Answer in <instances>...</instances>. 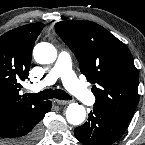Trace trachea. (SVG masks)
<instances>
[{
	"label": "trachea",
	"mask_w": 145,
	"mask_h": 145,
	"mask_svg": "<svg viewBox=\"0 0 145 145\" xmlns=\"http://www.w3.org/2000/svg\"><path fill=\"white\" fill-rule=\"evenodd\" d=\"M26 95L30 99H40V100H46V99H52V98H57L60 100H72V97L68 95L65 91L61 89H46L44 91H41L36 94L32 93H26Z\"/></svg>",
	"instance_id": "trachea-1"
}]
</instances>
